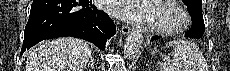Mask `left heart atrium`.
<instances>
[{"label": "left heart atrium", "mask_w": 230, "mask_h": 71, "mask_svg": "<svg viewBox=\"0 0 230 71\" xmlns=\"http://www.w3.org/2000/svg\"><path fill=\"white\" fill-rule=\"evenodd\" d=\"M103 3L110 13L129 22L143 24L154 18L150 0H104Z\"/></svg>", "instance_id": "39dd6f15"}]
</instances>
